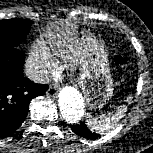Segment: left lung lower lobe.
<instances>
[{"label":"left lung lower lobe","mask_w":153,"mask_h":153,"mask_svg":"<svg viewBox=\"0 0 153 153\" xmlns=\"http://www.w3.org/2000/svg\"><path fill=\"white\" fill-rule=\"evenodd\" d=\"M71 130L78 136H81L86 139H98L100 137L99 134L91 132L87 128L85 122H81L80 124L77 125H71Z\"/></svg>","instance_id":"left-lung-lower-lobe-1"}]
</instances>
